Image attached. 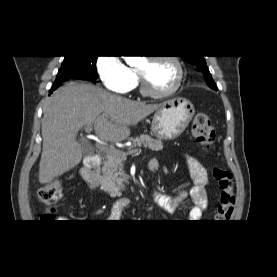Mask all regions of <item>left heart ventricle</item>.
<instances>
[{
	"mask_svg": "<svg viewBox=\"0 0 277 277\" xmlns=\"http://www.w3.org/2000/svg\"><path fill=\"white\" fill-rule=\"evenodd\" d=\"M138 70L143 74L147 87L153 92L166 91L176 77L174 66L165 60L143 61Z\"/></svg>",
	"mask_w": 277,
	"mask_h": 277,
	"instance_id": "1",
	"label": "left heart ventricle"
}]
</instances>
